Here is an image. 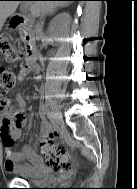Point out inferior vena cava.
<instances>
[{
    "mask_svg": "<svg viewBox=\"0 0 137 189\" xmlns=\"http://www.w3.org/2000/svg\"><path fill=\"white\" fill-rule=\"evenodd\" d=\"M46 12H43L41 14V19L45 16ZM42 26H43V21L38 22L35 26V34L36 36H39L42 33Z\"/></svg>",
    "mask_w": 137,
    "mask_h": 189,
    "instance_id": "602c4592",
    "label": "inferior vena cava"
}]
</instances>
